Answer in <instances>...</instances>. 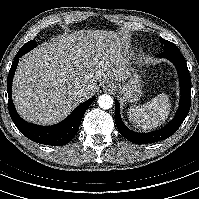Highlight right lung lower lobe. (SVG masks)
<instances>
[{"label": "right lung lower lobe", "mask_w": 199, "mask_h": 199, "mask_svg": "<svg viewBox=\"0 0 199 199\" xmlns=\"http://www.w3.org/2000/svg\"><path fill=\"white\" fill-rule=\"evenodd\" d=\"M27 52L29 51L26 49L18 51L14 57L7 79L8 106L11 119L21 133L34 142L52 146L65 145L76 135L84 113L96 98L92 97L80 104L64 121L53 126H38L24 121L16 112L12 101V81L19 58Z\"/></svg>", "instance_id": "98d812e1"}]
</instances>
